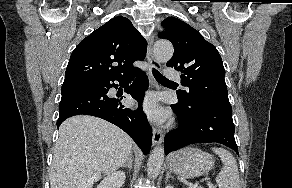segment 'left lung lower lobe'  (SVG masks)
<instances>
[{
    "label": "left lung lower lobe",
    "instance_id": "0a47b994",
    "mask_svg": "<svg viewBox=\"0 0 292 188\" xmlns=\"http://www.w3.org/2000/svg\"><path fill=\"white\" fill-rule=\"evenodd\" d=\"M180 127L165 137V154L194 143L216 142L236 151L232 107L229 103H184L171 105Z\"/></svg>",
    "mask_w": 292,
    "mask_h": 188
}]
</instances>
